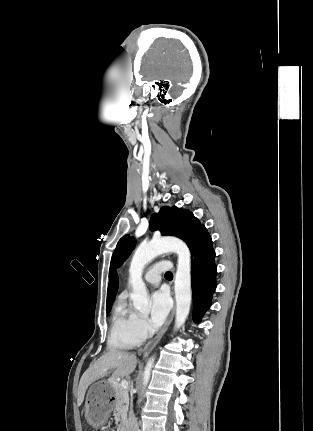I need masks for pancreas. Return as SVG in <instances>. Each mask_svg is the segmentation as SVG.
Returning a JSON list of instances; mask_svg holds the SVG:
<instances>
[{
  "instance_id": "cf45deb5",
  "label": "pancreas",
  "mask_w": 313,
  "mask_h": 431,
  "mask_svg": "<svg viewBox=\"0 0 313 431\" xmlns=\"http://www.w3.org/2000/svg\"><path fill=\"white\" fill-rule=\"evenodd\" d=\"M115 397V422L118 427L121 428L127 421V412L129 407L128 389H124L118 383H115Z\"/></svg>"
}]
</instances>
